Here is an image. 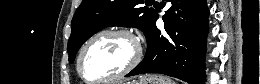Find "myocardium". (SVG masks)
<instances>
[{"label": "myocardium", "mask_w": 260, "mask_h": 84, "mask_svg": "<svg viewBox=\"0 0 260 84\" xmlns=\"http://www.w3.org/2000/svg\"><path fill=\"white\" fill-rule=\"evenodd\" d=\"M104 35H118V36L125 37L134 46V54H133L130 62L118 73H115V74L108 76L106 78H102L100 80L92 81V80L87 79L82 73V70H81L82 59H83L85 52L89 48V46L95 40H97L98 38H100ZM142 58H143L142 43H141L139 36L134 31H132L128 28H124V27H109V28H104V29L96 32L94 35H92L85 42V44L82 46V48H81V50L78 54L76 69H77V73H78L79 77L84 82L90 83V84H102V83L111 82L113 80H117V79L127 75L128 73H130L133 69H135L140 64Z\"/></svg>", "instance_id": "myocardium-1"}]
</instances>
